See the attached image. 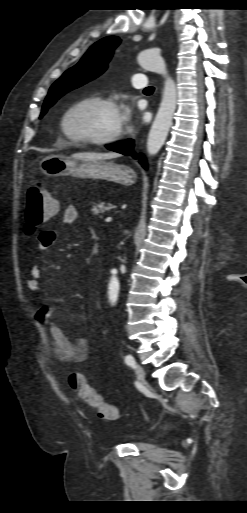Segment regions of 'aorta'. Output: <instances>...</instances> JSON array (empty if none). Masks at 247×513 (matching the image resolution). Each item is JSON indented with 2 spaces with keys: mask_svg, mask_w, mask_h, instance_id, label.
Here are the masks:
<instances>
[{
  "mask_svg": "<svg viewBox=\"0 0 247 513\" xmlns=\"http://www.w3.org/2000/svg\"><path fill=\"white\" fill-rule=\"evenodd\" d=\"M137 62L144 69L161 74L165 78L162 100L147 139V151L153 156L163 146L172 125L177 105V88L174 80L168 75L166 64L158 52L143 51L139 54ZM119 290V280L112 276L109 283V296L112 302L117 301Z\"/></svg>",
  "mask_w": 247,
  "mask_h": 513,
  "instance_id": "762f6f07",
  "label": "aorta"
}]
</instances>
